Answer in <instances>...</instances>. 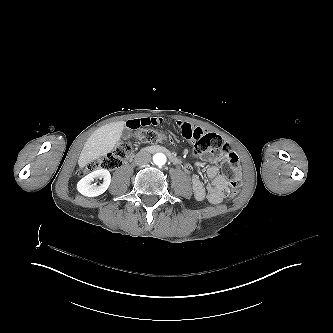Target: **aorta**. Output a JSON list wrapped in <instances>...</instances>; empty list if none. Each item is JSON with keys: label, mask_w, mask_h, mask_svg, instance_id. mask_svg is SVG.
Returning <instances> with one entry per match:
<instances>
[{"label": "aorta", "mask_w": 333, "mask_h": 333, "mask_svg": "<svg viewBox=\"0 0 333 333\" xmlns=\"http://www.w3.org/2000/svg\"><path fill=\"white\" fill-rule=\"evenodd\" d=\"M153 161L156 165L162 166L166 163L167 157L163 153H157V154L154 155Z\"/></svg>", "instance_id": "1"}]
</instances>
